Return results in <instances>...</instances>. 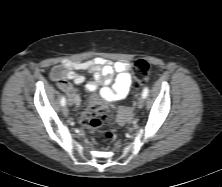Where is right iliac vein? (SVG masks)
Returning a JSON list of instances; mask_svg holds the SVG:
<instances>
[{
  "label": "right iliac vein",
  "instance_id": "right-iliac-vein-1",
  "mask_svg": "<svg viewBox=\"0 0 222 187\" xmlns=\"http://www.w3.org/2000/svg\"><path fill=\"white\" fill-rule=\"evenodd\" d=\"M62 112L64 115H67L68 114V108L66 106H63L62 107Z\"/></svg>",
  "mask_w": 222,
  "mask_h": 187
}]
</instances>
